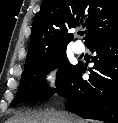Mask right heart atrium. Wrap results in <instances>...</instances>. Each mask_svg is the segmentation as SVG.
Returning <instances> with one entry per match:
<instances>
[{"instance_id":"1","label":"right heart atrium","mask_w":118,"mask_h":123,"mask_svg":"<svg viewBox=\"0 0 118 123\" xmlns=\"http://www.w3.org/2000/svg\"><path fill=\"white\" fill-rule=\"evenodd\" d=\"M43 78L47 86L54 87L58 79L57 71L53 68H50L44 73Z\"/></svg>"}]
</instances>
